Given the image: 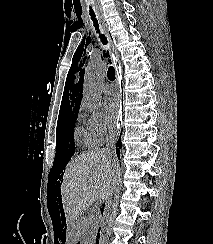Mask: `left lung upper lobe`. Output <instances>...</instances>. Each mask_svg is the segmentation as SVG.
<instances>
[{"label": "left lung upper lobe", "instance_id": "1", "mask_svg": "<svg viewBox=\"0 0 213 244\" xmlns=\"http://www.w3.org/2000/svg\"><path fill=\"white\" fill-rule=\"evenodd\" d=\"M76 69H77V66L75 67L73 72L70 71L69 76H68V80H67L68 85H72L73 84V81H74V78H75L73 75H74ZM78 70H79V68H78Z\"/></svg>", "mask_w": 213, "mask_h": 244}]
</instances>
